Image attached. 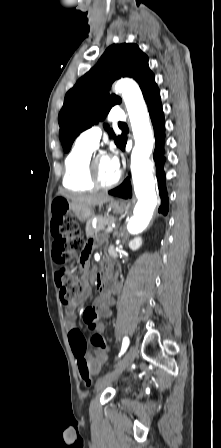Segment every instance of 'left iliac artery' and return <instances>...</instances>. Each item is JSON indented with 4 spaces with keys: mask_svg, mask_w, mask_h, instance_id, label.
Segmentation results:
<instances>
[{
    "mask_svg": "<svg viewBox=\"0 0 221 448\" xmlns=\"http://www.w3.org/2000/svg\"><path fill=\"white\" fill-rule=\"evenodd\" d=\"M128 345H129V339H128V337H124L123 342H122V348H121V352H120V354H119V357L126 351Z\"/></svg>",
    "mask_w": 221,
    "mask_h": 448,
    "instance_id": "left-iliac-artery-1",
    "label": "left iliac artery"
}]
</instances>
